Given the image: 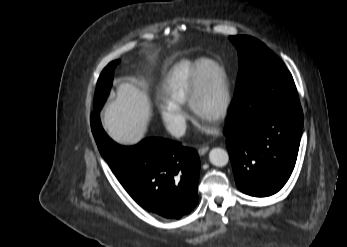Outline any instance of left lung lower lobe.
<instances>
[{
  "instance_id": "obj_1",
  "label": "left lung lower lobe",
  "mask_w": 347,
  "mask_h": 247,
  "mask_svg": "<svg viewBox=\"0 0 347 247\" xmlns=\"http://www.w3.org/2000/svg\"><path fill=\"white\" fill-rule=\"evenodd\" d=\"M303 113L292 75L273 70L235 96L224 134L238 188L255 197L278 192L296 163Z\"/></svg>"
}]
</instances>
